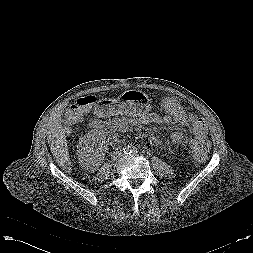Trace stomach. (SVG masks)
<instances>
[{"instance_id": "0dacf381", "label": "stomach", "mask_w": 253, "mask_h": 253, "mask_svg": "<svg viewBox=\"0 0 253 253\" xmlns=\"http://www.w3.org/2000/svg\"><path fill=\"white\" fill-rule=\"evenodd\" d=\"M168 103L170 101H166L165 106ZM150 109L148 95L139 90H127L116 99H101L96 106V111L104 116L119 113L131 117H141L147 114Z\"/></svg>"}]
</instances>
